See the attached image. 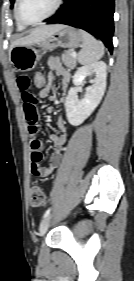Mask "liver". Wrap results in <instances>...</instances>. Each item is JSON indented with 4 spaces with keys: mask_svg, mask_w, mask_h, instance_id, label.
I'll list each match as a JSON object with an SVG mask.
<instances>
[{
    "mask_svg": "<svg viewBox=\"0 0 134 281\" xmlns=\"http://www.w3.org/2000/svg\"><path fill=\"white\" fill-rule=\"evenodd\" d=\"M62 26L63 25L56 24V25H47V26H42V27L36 28L33 31H31L30 34L13 41L10 49L12 50L14 47L20 46V45H30V44L40 42L43 39H45L46 37L57 32L59 29L62 28Z\"/></svg>",
    "mask_w": 134,
    "mask_h": 281,
    "instance_id": "obj_1",
    "label": "liver"
}]
</instances>
